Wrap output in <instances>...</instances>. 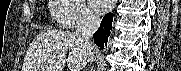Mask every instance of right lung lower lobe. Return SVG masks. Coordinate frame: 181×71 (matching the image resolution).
Masks as SVG:
<instances>
[{
    "mask_svg": "<svg viewBox=\"0 0 181 71\" xmlns=\"http://www.w3.org/2000/svg\"><path fill=\"white\" fill-rule=\"evenodd\" d=\"M113 21V14L108 13L103 17L100 28L93 35L94 43L101 48H105L107 45L108 36L111 31Z\"/></svg>",
    "mask_w": 181,
    "mask_h": 71,
    "instance_id": "right-lung-lower-lobe-1",
    "label": "right lung lower lobe"
}]
</instances>
